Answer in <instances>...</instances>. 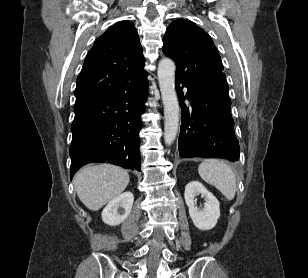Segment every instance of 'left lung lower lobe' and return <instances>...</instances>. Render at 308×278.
I'll list each match as a JSON object with an SVG mask.
<instances>
[{"mask_svg":"<svg viewBox=\"0 0 308 278\" xmlns=\"http://www.w3.org/2000/svg\"><path fill=\"white\" fill-rule=\"evenodd\" d=\"M175 86L182 108L180 157L239 159L240 147L234 132L225 74L195 82L176 77ZM183 87L188 90L186 95ZM185 99L190 101V107L184 104Z\"/></svg>","mask_w":308,"mask_h":278,"instance_id":"left-lung-lower-lobe-1","label":"left lung lower lobe"}]
</instances>
